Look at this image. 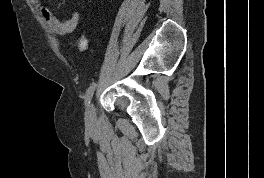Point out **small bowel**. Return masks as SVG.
I'll use <instances>...</instances> for the list:
<instances>
[{
  "label": "small bowel",
  "mask_w": 264,
  "mask_h": 178,
  "mask_svg": "<svg viewBox=\"0 0 264 178\" xmlns=\"http://www.w3.org/2000/svg\"><path fill=\"white\" fill-rule=\"evenodd\" d=\"M33 2L40 10L47 26L54 33L60 36H68L74 32L80 19V13L77 9L73 10L69 19L62 20L58 18L47 6H45L43 0H33Z\"/></svg>",
  "instance_id": "obj_1"
}]
</instances>
